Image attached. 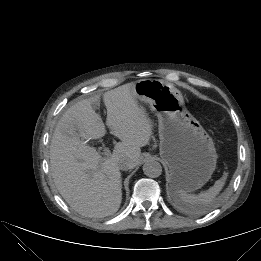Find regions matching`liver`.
Returning a JSON list of instances; mask_svg holds the SVG:
<instances>
[{"label":"liver","instance_id":"obj_1","mask_svg":"<svg viewBox=\"0 0 261 261\" xmlns=\"http://www.w3.org/2000/svg\"><path fill=\"white\" fill-rule=\"evenodd\" d=\"M133 89L134 83H128L103 95L106 124L111 134L121 140L110 157L102 158L94 147L83 141L101 138L106 133L94 109L99 105L98 96L71 106L53 133L52 178L65 201L83 216L101 218L118 211L122 201L119 161L129 160L134 168L139 163L141 147L150 141L153 125L144 108L138 105Z\"/></svg>","mask_w":261,"mask_h":261}]
</instances>
